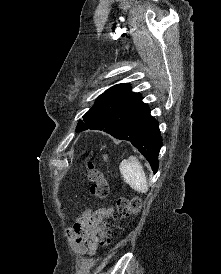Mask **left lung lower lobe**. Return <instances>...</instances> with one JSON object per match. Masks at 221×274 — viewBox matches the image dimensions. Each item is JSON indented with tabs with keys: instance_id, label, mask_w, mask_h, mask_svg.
<instances>
[{
	"instance_id": "obj_1",
	"label": "left lung lower lobe",
	"mask_w": 221,
	"mask_h": 274,
	"mask_svg": "<svg viewBox=\"0 0 221 274\" xmlns=\"http://www.w3.org/2000/svg\"><path fill=\"white\" fill-rule=\"evenodd\" d=\"M92 114L94 122L84 130H102L117 139L130 141L150 163L153 172H157L162 138L158 123L150 115L148 105L142 102L141 95L96 106Z\"/></svg>"
}]
</instances>
